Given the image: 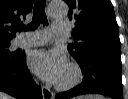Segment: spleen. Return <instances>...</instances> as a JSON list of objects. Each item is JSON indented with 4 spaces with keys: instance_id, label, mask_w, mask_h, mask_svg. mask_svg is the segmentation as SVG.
Returning <instances> with one entry per match:
<instances>
[{
    "instance_id": "3e777b00",
    "label": "spleen",
    "mask_w": 128,
    "mask_h": 99,
    "mask_svg": "<svg viewBox=\"0 0 128 99\" xmlns=\"http://www.w3.org/2000/svg\"><path fill=\"white\" fill-rule=\"evenodd\" d=\"M90 98H91V99H93V98H94V99H97V97H95V96H94V97H90Z\"/></svg>"
}]
</instances>
